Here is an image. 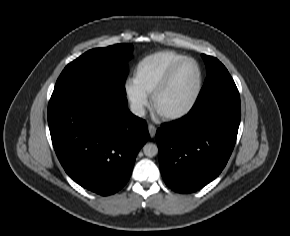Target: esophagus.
Instances as JSON below:
<instances>
[{"label":"esophagus","instance_id":"34e87169","mask_svg":"<svg viewBox=\"0 0 290 236\" xmlns=\"http://www.w3.org/2000/svg\"><path fill=\"white\" fill-rule=\"evenodd\" d=\"M148 131H149L150 137L153 138L156 134L157 128L153 124H148Z\"/></svg>","mask_w":290,"mask_h":236}]
</instances>
